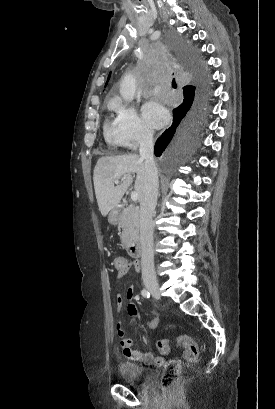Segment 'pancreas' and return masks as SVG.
I'll return each mask as SVG.
<instances>
[{"mask_svg": "<svg viewBox=\"0 0 275 409\" xmlns=\"http://www.w3.org/2000/svg\"><path fill=\"white\" fill-rule=\"evenodd\" d=\"M119 225L123 227L122 235H120L122 247L128 249L133 241L139 237V209L133 205L126 207L122 211Z\"/></svg>", "mask_w": 275, "mask_h": 409, "instance_id": "1", "label": "pancreas"}]
</instances>
